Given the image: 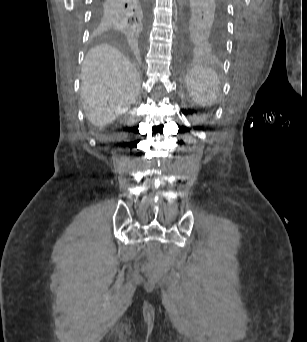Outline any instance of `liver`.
I'll use <instances>...</instances> for the list:
<instances>
[{"mask_svg":"<svg viewBox=\"0 0 307 342\" xmlns=\"http://www.w3.org/2000/svg\"><path fill=\"white\" fill-rule=\"evenodd\" d=\"M81 100L86 118L104 128L135 104L141 78L133 64L112 46H96L85 56L81 70Z\"/></svg>","mask_w":307,"mask_h":342,"instance_id":"1","label":"liver"}]
</instances>
